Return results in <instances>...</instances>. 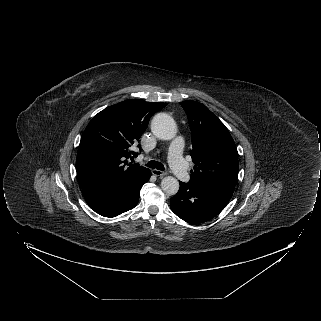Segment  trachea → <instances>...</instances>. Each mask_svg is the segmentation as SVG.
I'll use <instances>...</instances> for the list:
<instances>
[{"instance_id": "1", "label": "trachea", "mask_w": 321, "mask_h": 321, "mask_svg": "<svg viewBox=\"0 0 321 321\" xmlns=\"http://www.w3.org/2000/svg\"><path fill=\"white\" fill-rule=\"evenodd\" d=\"M147 167L149 168H153V169H158V170H161V171H164L165 168H164V165L158 161H149L147 164H146Z\"/></svg>"}]
</instances>
